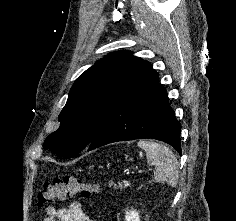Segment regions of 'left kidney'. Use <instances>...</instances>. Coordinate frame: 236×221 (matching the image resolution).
Here are the masks:
<instances>
[{
  "label": "left kidney",
  "instance_id": "left-kidney-1",
  "mask_svg": "<svg viewBox=\"0 0 236 221\" xmlns=\"http://www.w3.org/2000/svg\"><path fill=\"white\" fill-rule=\"evenodd\" d=\"M125 221H140L139 213L136 210H129L125 214Z\"/></svg>",
  "mask_w": 236,
  "mask_h": 221
}]
</instances>
